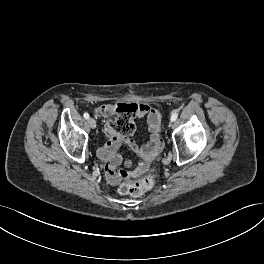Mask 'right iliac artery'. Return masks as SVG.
Masks as SVG:
<instances>
[{
  "label": "right iliac artery",
  "mask_w": 264,
  "mask_h": 264,
  "mask_svg": "<svg viewBox=\"0 0 264 264\" xmlns=\"http://www.w3.org/2000/svg\"><path fill=\"white\" fill-rule=\"evenodd\" d=\"M83 116H84L85 119L89 118V114L87 112H85Z\"/></svg>",
  "instance_id": "82829eb1"
}]
</instances>
